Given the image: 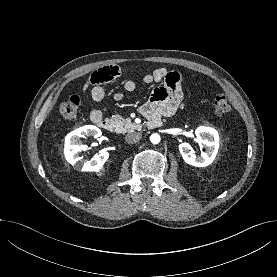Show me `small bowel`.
I'll list each match as a JSON object with an SVG mask.
<instances>
[{"label": "small bowel", "instance_id": "c3829d8e", "mask_svg": "<svg viewBox=\"0 0 277 277\" xmlns=\"http://www.w3.org/2000/svg\"><path fill=\"white\" fill-rule=\"evenodd\" d=\"M121 74L118 66H105L95 71L89 78V95L95 103H100L105 97L103 85L116 80ZM143 84L156 83L159 86L155 87L148 99L139 108L142 115L149 117L158 115L170 117L178 110L183 93L181 89V77L177 72L168 71L166 68L155 69L152 73L146 74L141 78ZM137 84L134 80H125L123 89L126 92H134ZM124 94L117 92L114 94V99L120 101L124 98ZM90 118L93 122L103 118L99 108L93 107L90 110Z\"/></svg>", "mask_w": 277, "mask_h": 277}]
</instances>
